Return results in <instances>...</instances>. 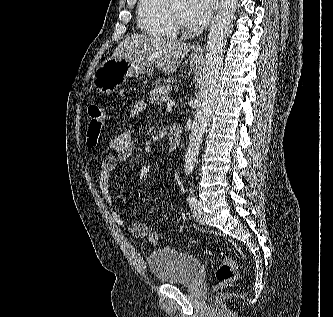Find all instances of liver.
Wrapping results in <instances>:
<instances>
[{
  "label": "liver",
  "instance_id": "liver-1",
  "mask_svg": "<svg viewBox=\"0 0 333 317\" xmlns=\"http://www.w3.org/2000/svg\"><path fill=\"white\" fill-rule=\"evenodd\" d=\"M191 45L175 38L134 33L116 47L112 58L142 60L164 73H173Z\"/></svg>",
  "mask_w": 333,
  "mask_h": 317
}]
</instances>
